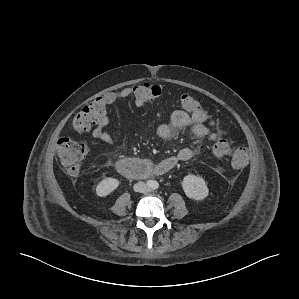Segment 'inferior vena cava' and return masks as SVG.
I'll list each match as a JSON object with an SVG mask.
<instances>
[{
	"instance_id": "602c4592",
	"label": "inferior vena cava",
	"mask_w": 299,
	"mask_h": 299,
	"mask_svg": "<svg viewBox=\"0 0 299 299\" xmlns=\"http://www.w3.org/2000/svg\"><path fill=\"white\" fill-rule=\"evenodd\" d=\"M134 191L140 193H146L149 191V187L144 182H139L134 185Z\"/></svg>"
}]
</instances>
